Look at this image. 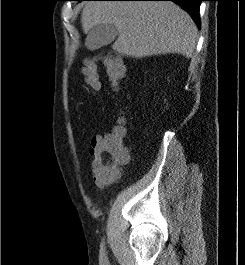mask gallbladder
Instances as JSON below:
<instances>
[{
    "label": "gallbladder",
    "instance_id": "bac80fb5",
    "mask_svg": "<svg viewBox=\"0 0 245 265\" xmlns=\"http://www.w3.org/2000/svg\"><path fill=\"white\" fill-rule=\"evenodd\" d=\"M118 35L113 24H97L88 32L86 45L90 49H99L111 44Z\"/></svg>",
    "mask_w": 245,
    "mask_h": 265
}]
</instances>
